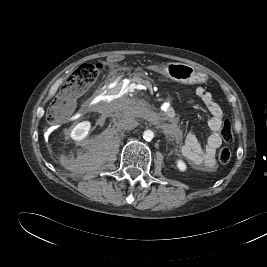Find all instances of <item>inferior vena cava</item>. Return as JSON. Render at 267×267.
<instances>
[{"label":"inferior vena cava","instance_id":"1","mask_svg":"<svg viewBox=\"0 0 267 267\" xmlns=\"http://www.w3.org/2000/svg\"><path fill=\"white\" fill-rule=\"evenodd\" d=\"M117 125L124 130H131L137 127L138 122L132 117L124 116L118 120Z\"/></svg>","mask_w":267,"mask_h":267}]
</instances>
